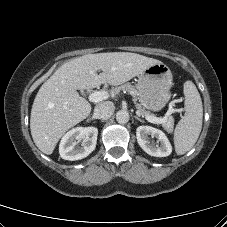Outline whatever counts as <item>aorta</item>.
Instances as JSON below:
<instances>
[{
  "instance_id": "obj_1",
  "label": "aorta",
  "mask_w": 227,
  "mask_h": 227,
  "mask_svg": "<svg viewBox=\"0 0 227 227\" xmlns=\"http://www.w3.org/2000/svg\"><path fill=\"white\" fill-rule=\"evenodd\" d=\"M116 120L120 124H125L129 121V113L126 110H119L116 113Z\"/></svg>"
}]
</instances>
